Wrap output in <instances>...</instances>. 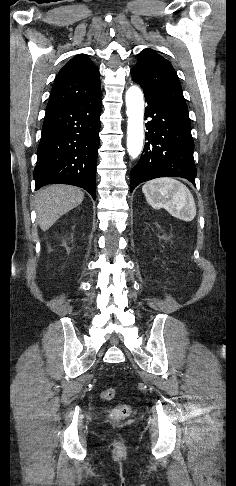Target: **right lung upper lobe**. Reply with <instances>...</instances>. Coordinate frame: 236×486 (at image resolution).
<instances>
[{
	"instance_id": "right-lung-upper-lobe-1",
	"label": "right lung upper lobe",
	"mask_w": 236,
	"mask_h": 486,
	"mask_svg": "<svg viewBox=\"0 0 236 486\" xmlns=\"http://www.w3.org/2000/svg\"><path fill=\"white\" fill-rule=\"evenodd\" d=\"M99 96V70L86 54H79L67 62L56 75L46 110Z\"/></svg>"
}]
</instances>
